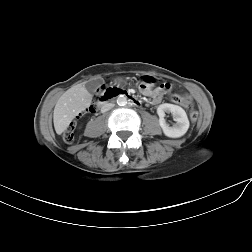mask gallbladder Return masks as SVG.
Masks as SVG:
<instances>
[{
  "instance_id": "bac80fb5",
  "label": "gallbladder",
  "mask_w": 252,
  "mask_h": 252,
  "mask_svg": "<svg viewBox=\"0 0 252 252\" xmlns=\"http://www.w3.org/2000/svg\"><path fill=\"white\" fill-rule=\"evenodd\" d=\"M101 81L100 80H93L89 81L85 84V88L91 94H94L95 91L100 87Z\"/></svg>"
}]
</instances>
